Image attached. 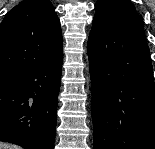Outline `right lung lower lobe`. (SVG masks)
<instances>
[{"label":"right lung lower lobe","mask_w":155,"mask_h":149,"mask_svg":"<svg viewBox=\"0 0 155 149\" xmlns=\"http://www.w3.org/2000/svg\"><path fill=\"white\" fill-rule=\"evenodd\" d=\"M63 55L0 84V141L54 149Z\"/></svg>","instance_id":"98d812e1"}]
</instances>
